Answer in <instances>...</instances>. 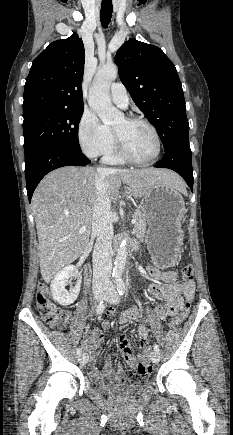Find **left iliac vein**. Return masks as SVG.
Masks as SVG:
<instances>
[{"label": "left iliac vein", "instance_id": "obj_1", "mask_svg": "<svg viewBox=\"0 0 233 435\" xmlns=\"http://www.w3.org/2000/svg\"><path fill=\"white\" fill-rule=\"evenodd\" d=\"M104 299H105V301H107L108 303H111V304H117L119 302V295H118V293L113 285L108 286L107 291L104 295ZM150 359L153 363H158L160 360L159 353H157L156 351H153L150 354Z\"/></svg>", "mask_w": 233, "mask_h": 435}]
</instances>
